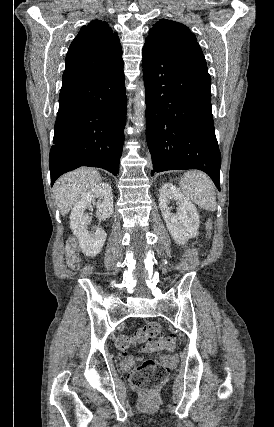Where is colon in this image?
<instances>
[{
  "label": "colon",
  "instance_id": "obj_1",
  "mask_svg": "<svg viewBox=\"0 0 274 427\" xmlns=\"http://www.w3.org/2000/svg\"><path fill=\"white\" fill-rule=\"evenodd\" d=\"M65 256L69 268L79 267L80 261L73 240L67 242ZM142 344H149L162 350H173L175 345L169 334L163 332L161 326L155 322H148L131 334H120L116 337V346L122 352ZM168 372V368L162 363L154 359H145L132 369L131 384L134 389L139 390L140 395H157L158 389H163L167 381Z\"/></svg>",
  "mask_w": 274,
  "mask_h": 427
}]
</instances>
